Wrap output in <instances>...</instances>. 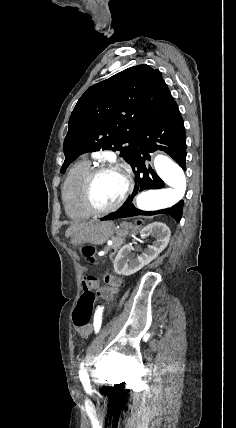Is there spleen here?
<instances>
[{
	"label": "spleen",
	"instance_id": "3e777b00",
	"mask_svg": "<svg viewBox=\"0 0 236 428\" xmlns=\"http://www.w3.org/2000/svg\"><path fill=\"white\" fill-rule=\"evenodd\" d=\"M122 226H124V228H128V230H129V228H132V226H130V224H122Z\"/></svg>",
	"mask_w": 236,
	"mask_h": 428
}]
</instances>
